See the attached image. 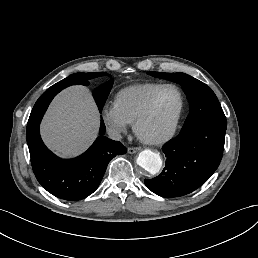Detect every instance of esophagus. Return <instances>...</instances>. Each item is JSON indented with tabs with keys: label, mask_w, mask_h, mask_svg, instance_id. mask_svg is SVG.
Here are the masks:
<instances>
[{
	"label": "esophagus",
	"mask_w": 258,
	"mask_h": 258,
	"mask_svg": "<svg viewBox=\"0 0 258 258\" xmlns=\"http://www.w3.org/2000/svg\"><path fill=\"white\" fill-rule=\"evenodd\" d=\"M139 151H141V147H129L128 148V153H130V154H134Z\"/></svg>",
	"instance_id": "obj_1"
}]
</instances>
